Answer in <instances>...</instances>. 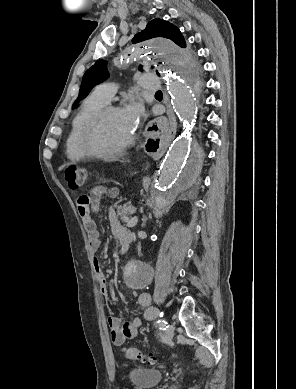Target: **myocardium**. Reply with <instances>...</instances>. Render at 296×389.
Listing matches in <instances>:
<instances>
[{"mask_svg":"<svg viewBox=\"0 0 296 389\" xmlns=\"http://www.w3.org/2000/svg\"><path fill=\"white\" fill-rule=\"evenodd\" d=\"M119 111H122V109L118 106L105 105L104 107L99 109L88 121L83 131L81 140L82 149L86 156L91 158L113 157L123 153L134 143L135 133H132L131 136L123 144L116 148L98 149L95 146V135L101 121L106 115Z\"/></svg>","mask_w":296,"mask_h":389,"instance_id":"myocardium-1","label":"myocardium"}]
</instances>
